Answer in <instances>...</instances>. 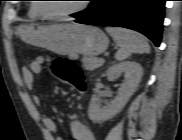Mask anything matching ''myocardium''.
<instances>
[{
  "label": "myocardium",
  "mask_w": 182,
  "mask_h": 140,
  "mask_svg": "<svg viewBox=\"0 0 182 140\" xmlns=\"http://www.w3.org/2000/svg\"><path fill=\"white\" fill-rule=\"evenodd\" d=\"M87 8V4L86 2H83L80 4L79 7L71 10V11H67V12H62V13H45L41 10L40 5L39 4H35L34 5V11L36 12V14L44 19H52V20H56V19H62V18H66V17H70L73 15H76L78 13H81L82 11H84Z\"/></svg>",
  "instance_id": "obj_1"
}]
</instances>
